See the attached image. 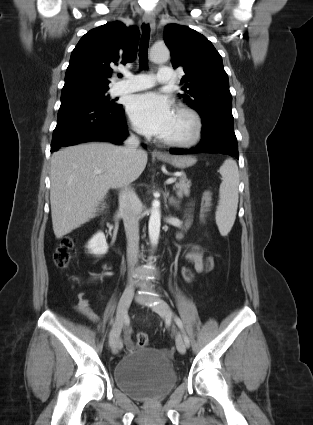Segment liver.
<instances>
[{"instance_id":"liver-1","label":"liver","mask_w":313,"mask_h":425,"mask_svg":"<svg viewBox=\"0 0 313 425\" xmlns=\"http://www.w3.org/2000/svg\"><path fill=\"white\" fill-rule=\"evenodd\" d=\"M110 143H87L67 147L51 157L50 203L57 239L95 217L97 207L112 187L135 181L144 171L148 155L123 154ZM100 169L101 173H94Z\"/></svg>"}]
</instances>
